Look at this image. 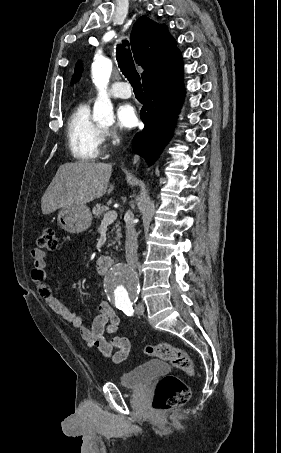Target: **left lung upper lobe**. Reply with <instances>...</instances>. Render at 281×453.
<instances>
[{
    "label": "left lung upper lobe",
    "instance_id": "left-lung-upper-lobe-1",
    "mask_svg": "<svg viewBox=\"0 0 281 453\" xmlns=\"http://www.w3.org/2000/svg\"><path fill=\"white\" fill-rule=\"evenodd\" d=\"M81 75V65L78 63L75 68L74 80H78Z\"/></svg>",
    "mask_w": 281,
    "mask_h": 453
}]
</instances>
